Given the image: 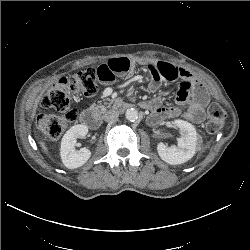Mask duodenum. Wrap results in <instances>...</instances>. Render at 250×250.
I'll return each instance as SVG.
<instances>
[{
  "instance_id": "1",
  "label": "duodenum",
  "mask_w": 250,
  "mask_h": 250,
  "mask_svg": "<svg viewBox=\"0 0 250 250\" xmlns=\"http://www.w3.org/2000/svg\"><path fill=\"white\" fill-rule=\"evenodd\" d=\"M130 107L131 105L126 102H116L112 105V108L119 113H125ZM81 121L90 129H97L100 125V111L97 109L84 110L81 114Z\"/></svg>"
}]
</instances>
